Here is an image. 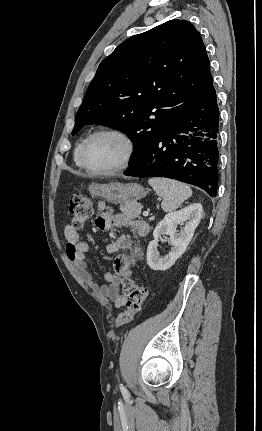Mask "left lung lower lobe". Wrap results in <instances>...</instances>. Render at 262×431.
I'll return each instance as SVG.
<instances>
[{
	"label": "left lung lower lobe",
	"mask_w": 262,
	"mask_h": 431,
	"mask_svg": "<svg viewBox=\"0 0 262 431\" xmlns=\"http://www.w3.org/2000/svg\"><path fill=\"white\" fill-rule=\"evenodd\" d=\"M218 138L219 109L212 86L124 174L179 180L213 197L218 187Z\"/></svg>",
	"instance_id": "1"
}]
</instances>
